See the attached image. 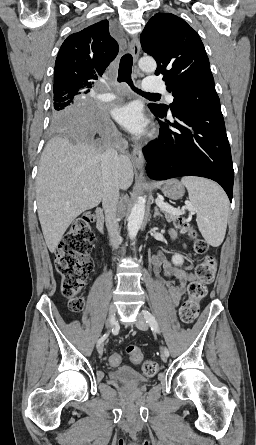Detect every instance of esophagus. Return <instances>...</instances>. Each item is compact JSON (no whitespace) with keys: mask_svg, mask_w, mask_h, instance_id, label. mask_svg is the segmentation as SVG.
Masks as SVG:
<instances>
[{"mask_svg":"<svg viewBox=\"0 0 256 445\" xmlns=\"http://www.w3.org/2000/svg\"><path fill=\"white\" fill-rule=\"evenodd\" d=\"M130 52L134 58V61L137 62L140 55V42L137 37L133 38L130 42ZM132 161L134 165L142 170L144 166V158L141 152V148L138 145H134L132 149Z\"/></svg>","mask_w":256,"mask_h":445,"instance_id":"esophagus-1","label":"esophagus"}]
</instances>
